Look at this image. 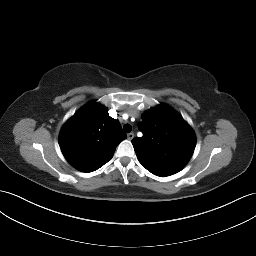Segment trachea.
Here are the masks:
<instances>
[{
    "instance_id": "1",
    "label": "trachea",
    "mask_w": 256,
    "mask_h": 256,
    "mask_svg": "<svg viewBox=\"0 0 256 256\" xmlns=\"http://www.w3.org/2000/svg\"><path fill=\"white\" fill-rule=\"evenodd\" d=\"M123 130H124V132H126V133H130L131 130H132V127H131L130 124H125V125L123 126Z\"/></svg>"
}]
</instances>
